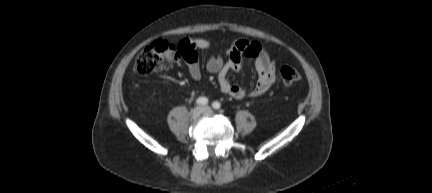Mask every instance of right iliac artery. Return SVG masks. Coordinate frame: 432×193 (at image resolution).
Here are the masks:
<instances>
[{
  "mask_svg": "<svg viewBox=\"0 0 432 193\" xmlns=\"http://www.w3.org/2000/svg\"><path fill=\"white\" fill-rule=\"evenodd\" d=\"M196 103H197L198 105L205 106V105L208 104V99H207L206 97H199V98L196 100Z\"/></svg>",
  "mask_w": 432,
  "mask_h": 193,
  "instance_id": "right-iliac-artery-1",
  "label": "right iliac artery"
}]
</instances>
